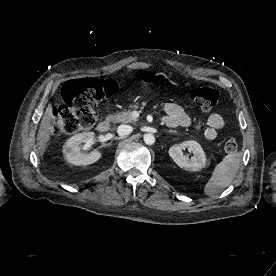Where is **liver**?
Returning a JSON list of instances; mask_svg holds the SVG:
<instances>
[{
	"label": "liver",
	"instance_id": "obj_1",
	"mask_svg": "<svg viewBox=\"0 0 276 276\" xmlns=\"http://www.w3.org/2000/svg\"><path fill=\"white\" fill-rule=\"evenodd\" d=\"M149 65L146 63L135 62L127 66L129 70L131 69H145L148 68ZM53 106L49 104L46 108V111L42 117L40 128L38 130L37 135V145L38 149L41 153L45 151L47 148L48 142L50 140V132H51V125L53 120Z\"/></svg>",
	"mask_w": 276,
	"mask_h": 276
}]
</instances>
